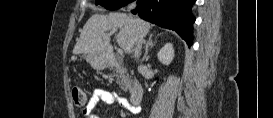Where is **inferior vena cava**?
<instances>
[{
  "label": "inferior vena cava",
  "instance_id": "inferior-vena-cava-1",
  "mask_svg": "<svg viewBox=\"0 0 273 118\" xmlns=\"http://www.w3.org/2000/svg\"><path fill=\"white\" fill-rule=\"evenodd\" d=\"M134 7H135V3L131 4L129 6V9H132ZM143 42H144L143 37L142 36H138L137 39H136V47L134 49L135 58H139ZM142 68H143L142 66L139 67V69H142Z\"/></svg>",
  "mask_w": 273,
  "mask_h": 118
}]
</instances>
